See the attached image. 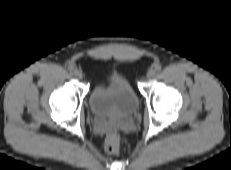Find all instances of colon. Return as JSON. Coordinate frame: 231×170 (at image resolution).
<instances>
[{
  "label": "colon",
  "mask_w": 231,
  "mask_h": 170,
  "mask_svg": "<svg viewBox=\"0 0 231 170\" xmlns=\"http://www.w3.org/2000/svg\"><path fill=\"white\" fill-rule=\"evenodd\" d=\"M123 137L118 132L110 133L105 141V149L109 153H117L122 145Z\"/></svg>",
  "instance_id": "obj_1"
}]
</instances>
